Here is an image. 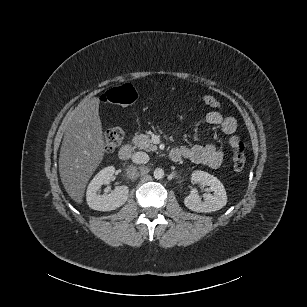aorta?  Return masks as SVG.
<instances>
[{
  "mask_svg": "<svg viewBox=\"0 0 307 307\" xmlns=\"http://www.w3.org/2000/svg\"><path fill=\"white\" fill-rule=\"evenodd\" d=\"M164 171L160 168L154 170L153 176L156 180H161L164 178Z\"/></svg>",
  "mask_w": 307,
  "mask_h": 307,
  "instance_id": "aorta-1",
  "label": "aorta"
}]
</instances>
